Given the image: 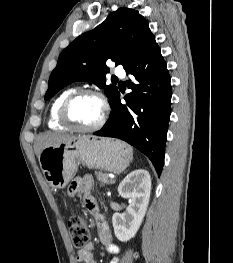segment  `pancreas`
I'll return each mask as SVG.
<instances>
[{
  "mask_svg": "<svg viewBox=\"0 0 233 263\" xmlns=\"http://www.w3.org/2000/svg\"><path fill=\"white\" fill-rule=\"evenodd\" d=\"M96 178L97 180L102 184H109V183H113L114 180H109L108 174L103 173V172H95Z\"/></svg>",
  "mask_w": 233,
  "mask_h": 263,
  "instance_id": "obj_1",
  "label": "pancreas"
}]
</instances>
